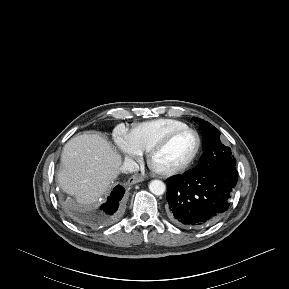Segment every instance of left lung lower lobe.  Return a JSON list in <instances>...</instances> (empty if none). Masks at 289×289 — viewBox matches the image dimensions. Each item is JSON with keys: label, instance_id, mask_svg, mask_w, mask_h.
I'll use <instances>...</instances> for the list:
<instances>
[{"label": "left lung lower lobe", "instance_id": "left-lung-lower-lobe-1", "mask_svg": "<svg viewBox=\"0 0 289 289\" xmlns=\"http://www.w3.org/2000/svg\"><path fill=\"white\" fill-rule=\"evenodd\" d=\"M238 173L234 165L194 168L167 180L169 219L181 227L215 222L229 207Z\"/></svg>", "mask_w": 289, "mask_h": 289}]
</instances>
